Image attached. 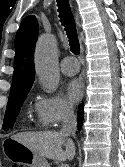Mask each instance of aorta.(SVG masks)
<instances>
[{"instance_id": "obj_1", "label": "aorta", "mask_w": 125, "mask_h": 167, "mask_svg": "<svg viewBox=\"0 0 125 167\" xmlns=\"http://www.w3.org/2000/svg\"><path fill=\"white\" fill-rule=\"evenodd\" d=\"M35 68L38 78L48 93L58 87L60 72L56 55V41L53 36H41L35 49Z\"/></svg>"}]
</instances>
